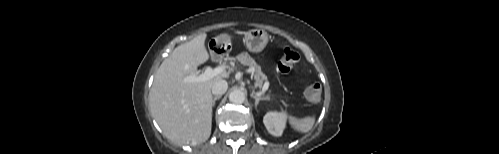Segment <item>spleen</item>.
Segmentation results:
<instances>
[{
	"label": "spleen",
	"mask_w": 499,
	"mask_h": 154,
	"mask_svg": "<svg viewBox=\"0 0 499 154\" xmlns=\"http://www.w3.org/2000/svg\"><path fill=\"white\" fill-rule=\"evenodd\" d=\"M315 123V116H308L305 118L298 119L296 117H290L291 127L301 133L309 132Z\"/></svg>",
	"instance_id": "1"
}]
</instances>
